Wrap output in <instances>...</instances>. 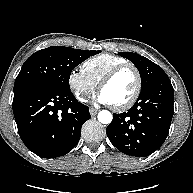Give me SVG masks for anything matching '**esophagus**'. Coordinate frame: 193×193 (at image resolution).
<instances>
[{"instance_id":"obj_1","label":"esophagus","mask_w":193,"mask_h":193,"mask_svg":"<svg viewBox=\"0 0 193 193\" xmlns=\"http://www.w3.org/2000/svg\"><path fill=\"white\" fill-rule=\"evenodd\" d=\"M89 112H90L91 116H95L98 113V110L94 109V108H90Z\"/></svg>"}]
</instances>
